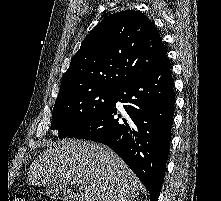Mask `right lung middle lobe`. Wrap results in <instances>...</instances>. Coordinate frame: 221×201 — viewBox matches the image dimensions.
I'll list each match as a JSON object with an SVG mask.
<instances>
[{"mask_svg": "<svg viewBox=\"0 0 221 201\" xmlns=\"http://www.w3.org/2000/svg\"><path fill=\"white\" fill-rule=\"evenodd\" d=\"M115 90L93 88L58 98L54 105L51 129L65 138L105 110L113 100Z\"/></svg>", "mask_w": 221, "mask_h": 201, "instance_id": "obj_1", "label": "right lung middle lobe"}]
</instances>
